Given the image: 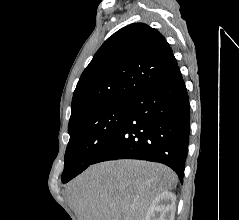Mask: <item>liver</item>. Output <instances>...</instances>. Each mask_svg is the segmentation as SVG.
I'll return each mask as SVG.
<instances>
[{"label":"liver","mask_w":239,"mask_h":220,"mask_svg":"<svg viewBox=\"0 0 239 220\" xmlns=\"http://www.w3.org/2000/svg\"><path fill=\"white\" fill-rule=\"evenodd\" d=\"M176 184L165 165L121 159L90 166L67 191L78 220H145L155 197Z\"/></svg>","instance_id":"1"}]
</instances>
